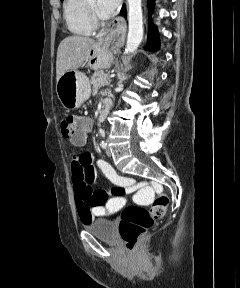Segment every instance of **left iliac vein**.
Instances as JSON below:
<instances>
[{
	"label": "left iliac vein",
	"instance_id": "obj_1",
	"mask_svg": "<svg viewBox=\"0 0 240 288\" xmlns=\"http://www.w3.org/2000/svg\"><path fill=\"white\" fill-rule=\"evenodd\" d=\"M106 154L108 157L112 156V152H111L110 148H106Z\"/></svg>",
	"mask_w": 240,
	"mask_h": 288
}]
</instances>
